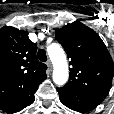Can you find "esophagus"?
Segmentation results:
<instances>
[{
  "mask_svg": "<svg viewBox=\"0 0 114 114\" xmlns=\"http://www.w3.org/2000/svg\"><path fill=\"white\" fill-rule=\"evenodd\" d=\"M46 64H47L48 70L52 71V62H51V60H48Z\"/></svg>",
  "mask_w": 114,
  "mask_h": 114,
  "instance_id": "obj_1",
  "label": "esophagus"
}]
</instances>
